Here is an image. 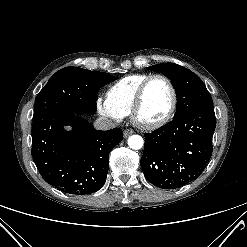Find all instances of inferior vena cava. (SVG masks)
<instances>
[{"label": "inferior vena cava", "mask_w": 247, "mask_h": 247, "mask_svg": "<svg viewBox=\"0 0 247 247\" xmlns=\"http://www.w3.org/2000/svg\"><path fill=\"white\" fill-rule=\"evenodd\" d=\"M94 127L97 130H109L115 127V124L112 120L106 117H99L94 122Z\"/></svg>", "instance_id": "obj_1"}]
</instances>
